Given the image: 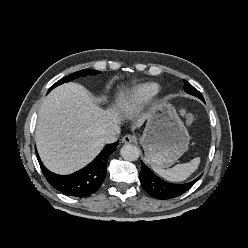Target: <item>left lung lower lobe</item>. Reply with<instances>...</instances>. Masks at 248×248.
Listing matches in <instances>:
<instances>
[{
    "mask_svg": "<svg viewBox=\"0 0 248 248\" xmlns=\"http://www.w3.org/2000/svg\"><path fill=\"white\" fill-rule=\"evenodd\" d=\"M141 166V185L150 196L157 199H170L178 197L189 190L201 177L199 176L194 181L189 183L173 184L160 179L142 161Z\"/></svg>",
    "mask_w": 248,
    "mask_h": 248,
    "instance_id": "1",
    "label": "left lung lower lobe"
}]
</instances>
